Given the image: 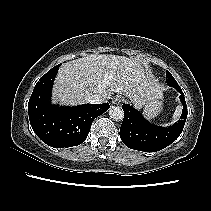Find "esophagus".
<instances>
[{
  "instance_id": "obj_1",
  "label": "esophagus",
  "mask_w": 211,
  "mask_h": 211,
  "mask_svg": "<svg viewBox=\"0 0 211 211\" xmlns=\"http://www.w3.org/2000/svg\"><path fill=\"white\" fill-rule=\"evenodd\" d=\"M124 101V98L122 96H115L113 98V104L120 105Z\"/></svg>"
}]
</instances>
